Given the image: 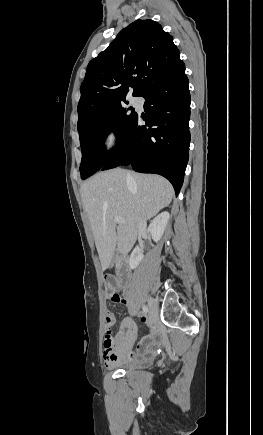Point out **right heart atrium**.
Here are the masks:
<instances>
[{"instance_id":"right-heart-atrium-1","label":"right heart atrium","mask_w":263,"mask_h":435,"mask_svg":"<svg viewBox=\"0 0 263 435\" xmlns=\"http://www.w3.org/2000/svg\"><path fill=\"white\" fill-rule=\"evenodd\" d=\"M120 140L121 135L119 129L116 126H109L102 135V149L105 152H112L119 146Z\"/></svg>"}]
</instances>
